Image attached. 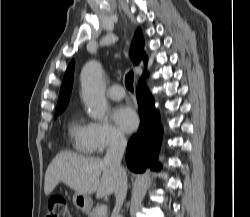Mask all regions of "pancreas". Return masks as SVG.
I'll use <instances>...</instances> for the list:
<instances>
[{
    "label": "pancreas",
    "mask_w": 250,
    "mask_h": 217,
    "mask_svg": "<svg viewBox=\"0 0 250 217\" xmlns=\"http://www.w3.org/2000/svg\"><path fill=\"white\" fill-rule=\"evenodd\" d=\"M100 206H96L95 208H93L89 213H88V217H108V214H102V215H98L97 214V210Z\"/></svg>",
    "instance_id": "pancreas-1"
}]
</instances>
